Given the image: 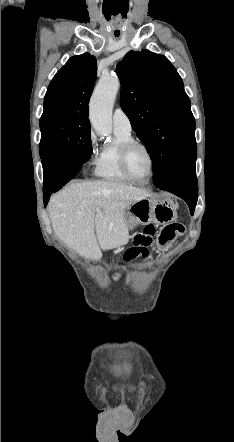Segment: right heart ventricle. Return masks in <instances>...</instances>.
Wrapping results in <instances>:
<instances>
[{
  "mask_svg": "<svg viewBox=\"0 0 234 442\" xmlns=\"http://www.w3.org/2000/svg\"><path fill=\"white\" fill-rule=\"evenodd\" d=\"M115 139L104 145L95 162V174L99 178L118 183H128L131 180L123 173L120 166V147L132 139L131 133L114 129Z\"/></svg>",
  "mask_w": 234,
  "mask_h": 442,
  "instance_id": "obj_1",
  "label": "right heart ventricle"
}]
</instances>
